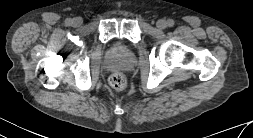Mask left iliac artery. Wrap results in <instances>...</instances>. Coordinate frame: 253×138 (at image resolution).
<instances>
[{
	"label": "left iliac artery",
	"instance_id": "1",
	"mask_svg": "<svg viewBox=\"0 0 253 138\" xmlns=\"http://www.w3.org/2000/svg\"><path fill=\"white\" fill-rule=\"evenodd\" d=\"M167 24L169 27H172L174 25V21L172 19H169Z\"/></svg>",
	"mask_w": 253,
	"mask_h": 138
}]
</instances>
